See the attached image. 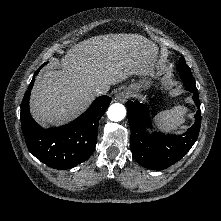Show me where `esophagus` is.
I'll return each mask as SVG.
<instances>
[{"instance_id": "1", "label": "esophagus", "mask_w": 221, "mask_h": 221, "mask_svg": "<svg viewBox=\"0 0 221 221\" xmlns=\"http://www.w3.org/2000/svg\"><path fill=\"white\" fill-rule=\"evenodd\" d=\"M130 97L129 92L127 91H121L117 94V99L120 101H125Z\"/></svg>"}]
</instances>
